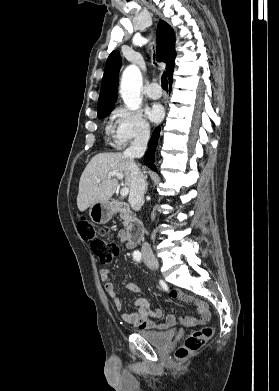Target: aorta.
Here are the masks:
<instances>
[{
	"instance_id": "1",
	"label": "aorta",
	"mask_w": 279,
	"mask_h": 391,
	"mask_svg": "<svg viewBox=\"0 0 279 391\" xmlns=\"http://www.w3.org/2000/svg\"><path fill=\"white\" fill-rule=\"evenodd\" d=\"M141 87L142 75L140 69L136 65H129L122 74L120 94L124 104L131 111L139 109L142 104Z\"/></svg>"
}]
</instances>
